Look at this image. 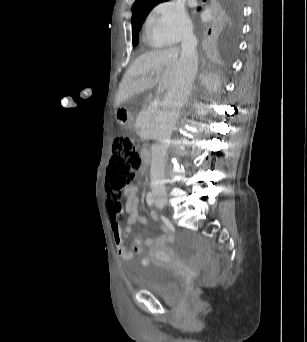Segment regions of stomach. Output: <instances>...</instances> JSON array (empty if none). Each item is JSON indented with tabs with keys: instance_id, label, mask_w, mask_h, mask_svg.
I'll return each instance as SVG.
<instances>
[{
	"instance_id": "1",
	"label": "stomach",
	"mask_w": 307,
	"mask_h": 342,
	"mask_svg": "<svg viewBox=\"0 0 307 342\" xmlns=\"http://www.w3.org/2000/svg\"><path fill=\"white\" fill-rule=\"evenodd\" d=\"M116 119L120 126L124 129H130L133 126V118L131 114L124 109H117Z\"/></svg>"
}]
</instances>
